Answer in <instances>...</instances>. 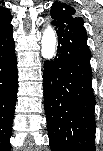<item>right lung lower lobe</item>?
<instances>
[{
    "label": "right lung lower lobe",
    "mask_w": 103,
    "mask_h": 151,
    "mask_svg": "<svg viewBox=\"0 0 103 151\" xmlns=\"http://www.w3.org/2000/svg\"><path fill=\"white\" fill-rule=\"evenodd\" d=\"M12 25L0 30V141L9 148L17 98V59L14 51Z\"/></svg>",
    "instance_id": "1"
}]
</instances>
